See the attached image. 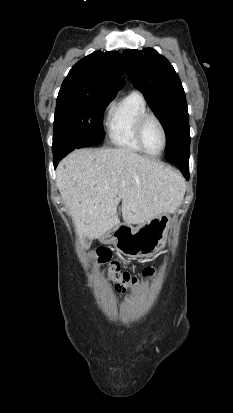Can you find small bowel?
<instances>
[{
    "mask_svg": "<svg viewBox=\"0 0 233 413\" xmlns=\"http://www.w3.org/2000/svg\"><path fill=\"white\" fill-rule=\"evenodd\" d=\"M121 262H122V263H127V262H128V257H127V256H122V257H121ZM126 270H127V271H130V270H131V267H130V266H127V267H126Z\"/></svg>",
    "mask_w": 233,
    "mask_h": 413,
    "instance_id": "1",
    "label": "small bowel"
}]
</instances>
